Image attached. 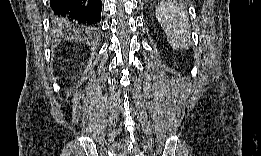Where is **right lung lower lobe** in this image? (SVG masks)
Listing matches in <instances>:
<instances>
[{"mask_svg":"<svg viewBox=\"0 0 261 156\" xmlns=\"http://www.w3.org/2000/svg\"><path fill=\"white\" fill-rule=\"evenodd\" d=\"M50 6L58 27H88L101 20L100 0H50Z\"/></svg>","mask_w":261,"mask_h":156,"instance_id":"98d812e1","label":"right lung lower lobe"}]
</instances>
